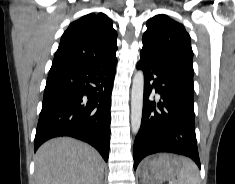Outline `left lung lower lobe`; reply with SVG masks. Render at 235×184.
I'll return each instance as SVG.
<instances>
[{
  "label": "left lung lower lobe",
  "instance_id": "0a47b994",
  "mask_svg": "<svg viewBox=\"0 0 235 184\" xmlns=\"http://www.w3.org/2000/svg\"><path fill=\"white\" fill-rule=\"evenodd\" d=\"M140 55L137 68L144 73V101L141 126L134 142V169L144 157L158 152L190 157L201 168L195 135L194 90L148 53L141 51ZM153 88L161 94L158 104L148 100Z\"/></svg>",
  "mask_w": 235,
  "mask_h": 184
}]
</instances>
